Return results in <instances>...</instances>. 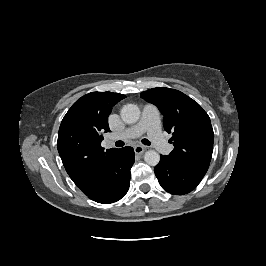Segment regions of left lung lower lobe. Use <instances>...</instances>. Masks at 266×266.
I'll return each instance as SVG.
<instances>
[{
  "mask_svg": "<svg viewBox=\"0 0 266 266\" xmlns=\"http://www.w3.org/2000/svg\"><path fill=\"white\" fill-rule=\"evenodd\" d=\"M208 169L188 168L173 163L167 156H161L154 168L162 188L175 195H183L197 187Z\"/></svg>",
  "mask_w": 266,
  "mask_h": 266,
  "instance_id": "0a47b994",
  "label": "left lung lower lobe"
}]
</instances>
